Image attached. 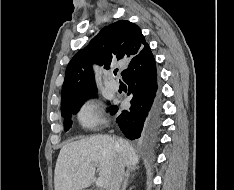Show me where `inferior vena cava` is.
<instances>
[{
    "instance_id": "1",
    "label": "inferior vena cava",
    "mask_w": 234,
    "mask_h": 190,
    "mask_svg": "<svg viewBox=\"0 0 234 190\" xmlns=\"http://www.w3.org/2000/svg\"><path fill=\"white\" fill-rule=\"evenodd\" d=\"M124 175V163L121 155H118L106 190H120Z\"/></svg>"
}]
</instances>
